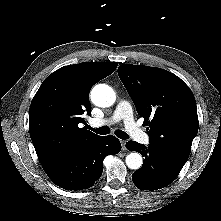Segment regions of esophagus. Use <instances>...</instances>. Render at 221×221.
Segmentation results:
<instances>
[{"label": "esophagus", "mask_w": 221, "mask_h": 221, "mask_svg": "<svg viewBox=\"0 0 221 221\" xmlns=\"http://www.w3.org/2000/svg\"><path fill=\"white\" fill-rule=\"evenodd\" d=\"M121 144H122V150H126V141L121 140Z\"/></svg>", "instance_id": "1"}]
</instances>
